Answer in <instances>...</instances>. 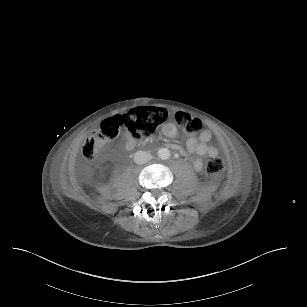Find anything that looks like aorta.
Instances as JSON below:
<instances>
[{
  "label": "aorta",
  "mask_w": 307,
  "mask_h": 307,
  "mask_svg": "<svg viewBox=\"0 0 307 307\" xmlns=\"http://www.w3.org/2000/svg\"><path fill=\"white\" fill-rule=\"evenodd\" d=\"M157 155L160 159L162 160H167L170 158L171 156V152L168 148H160L158 151H157Z\"/></svg>",
  "instance_id": "obj_1"
}]
</instances>
